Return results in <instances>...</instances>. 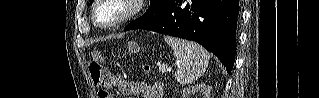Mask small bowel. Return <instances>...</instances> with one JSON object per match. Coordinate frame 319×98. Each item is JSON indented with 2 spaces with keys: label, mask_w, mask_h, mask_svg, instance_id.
Masks as SVG:
<instances>
[{
  "label": "small bowel",
  "mask_w": 319,
  "mask_h": 98,
  "mask_svg": "<svg viewBox=\"0 0 319 98\" xmlns=\"http://www.w3.org/2000/svg\"><path fill=\"white\" fill-rule=\"evenodd\" d=\"M107 85L117 88L122 94L127 97L139 96L140 98H161L162 85H148L139 81H127L120 76L110 75Z\"/></svg>",
  "instance_id": "obj_1"
}]
</instances>
